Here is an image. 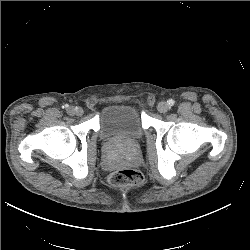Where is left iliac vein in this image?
Instances as JSON below:
<instances>
[{
  "mask_svg": "<svg viewBox=\"0 0 250 250\" xmlns=\"http://www.w3.org/2000/svg\"><path fill=\"white\" fill-rule=\"evenodd\" d=\"M157 109L160 113H166L169 110V105L162 101L158 104Z\"/></svg>",
  "mask_w": 250,
  "mask_h": 250,
  "instance_id": "1",
  "label": "left iliac vein"
}]
</instances>
